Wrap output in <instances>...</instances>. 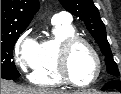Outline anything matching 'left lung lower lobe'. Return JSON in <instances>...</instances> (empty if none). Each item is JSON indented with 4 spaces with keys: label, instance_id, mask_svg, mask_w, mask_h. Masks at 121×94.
Returning a JSON list of instances; mask_svg holds the SVG:
<instances>
[{
    "label": "left lung lower lobe",
    "instance_id": "left-lung-lower-lobe-1",
    "mask_svg": "<svg viewBox=\"0 0 121 94\" xmlns=\"http://www.w3.org/2000/svg\"><path fill=\"white\" fill-rule=\"evenodd\" d=\"M106 89H117L118 91L121 92V82L110 81V82L106 83L102 88V90H106Z\"/></svg>",
    "mask_w": 121,
    "mask_h": 94
}]
</instances>
